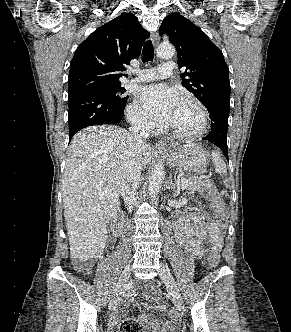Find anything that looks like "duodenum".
Returning <instances> with one entry per match:
<instances>
[{
    "label": "duodenum",
    "instance_id": "duodenum-1",
    "mask_svg": "<svg viewBox=\"0 0 291 332\" xmlns=\"http://www.w3.org/2000/svg\"><path fill=\"white\" fill-rule=\"evenodd\" d=\"M123 228V216L118 214L112 222V231L115 235H119Z\"/></svg>",
    "mask_w": 291,
    "mask_h": 332
}]
</instances>
